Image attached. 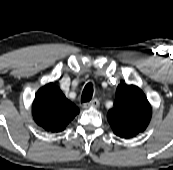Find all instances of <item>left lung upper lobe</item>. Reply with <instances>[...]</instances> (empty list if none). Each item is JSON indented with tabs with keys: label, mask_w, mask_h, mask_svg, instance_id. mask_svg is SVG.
Wrapping results in <instances>:
<instances>
[{
	"label": "left lung upper lobe",
	"mask_w": 173,
	"mask_h": 170,
	"mask_svg": "<svg viewBox=\"0 0 173 170\" xmlns=\"http://www.w3.org/2000/svg\"><path fill=\"white\" fill-rule=\"evenodd\" d=\"M151 114L150 103L140 88L120 84L114 107L109 110L107 120L117 136L129 139L147 128Z\"/></svg>",
	"instance_id": "1"
}]
</instances>
